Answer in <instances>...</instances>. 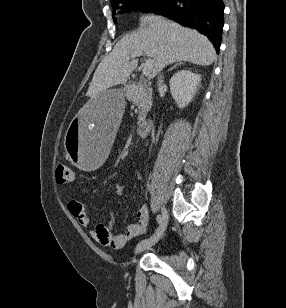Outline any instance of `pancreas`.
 Returning a JSON list of instances; mask_svg holds the SVG:
<instances>
[{"label":"pancreas","instance_id":"obj_1","mask_svg":"<svg viewBox=\"0 0 286 308\" xmlns=\"http://www.w3.org/2000/svg\"><path fill=\"white\" fill-rule=\"evenodd\" d=\"M125 96L127 100L138 106V124H140L145 119L152 105L151 89L146 84L138 82L137 84L127 87Z\"/></svg>","mask_w":286,"mask_h":308}]
</instances>
